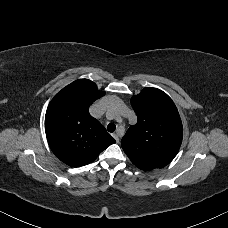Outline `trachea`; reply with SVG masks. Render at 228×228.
<instances>
[{
    "label": "trachea",
    "instance_id": "3493384b",
    "mask_svg": "<svg viewBox=\"0 0 228 228\" xmlns=\"http://www.w3.org/2000/svg\"><path fill=\"white\" fill-rule=\"evenodd\" d=\"M115 129H116V125H115V124H113V123L108 124L107 130H108L109 132H114Z\"/></svg>",
    "mask_w": 228,
    "mask_h": 228
}]
</instances>
